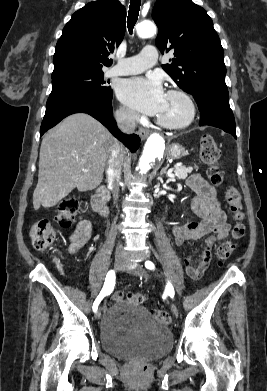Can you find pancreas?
<instances>
[{
  "mask_svg": "<svg viewBox=\"0 0 267 391\" xmlns=\"http://www.w3.org/2000/svg\"><path fill=\"white\" fill-rule=\"evenodd\" d=\"M192 170V167L176 166L174 169V175L177 179L183 180L187 178L188 174L191 173Z\"/></svg>",
  "mask_w": 267,
  "mask_h": 391,
  "instance_id": "cf45deb5",
  "label": "pancreas"
}]
</instances>
